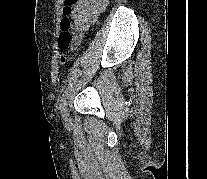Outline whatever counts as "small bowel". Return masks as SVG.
I'll return each instance as SVG.
<instances>
[{
  "mask_svg": "<svg viewBox=\"0 0 207 179\" xmlns=\"http://www.w3.org/2000/svg\"><path fill=\"white\" fill-rule=\"evenodd\" d=\"M109 0H80L74 12L75 42L77 45L85 31L97 20L106 9Z\"/></svg>",
  "mask_w": 207,
  "mask_h": 179,
  "instance_id": "1",
  "label": "small bowel"
}]
</instances>
